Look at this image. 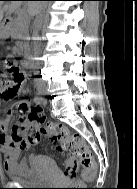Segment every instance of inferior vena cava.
Here are the masks:
<instances>
[{"mask_svg": "<svg viewBox=\"0 0 137 189\" xmlns=\"http://www.w3.org/2000/svg\"><path fill=\"white\" fill-rule=\"evenodd\" d=\"M46 7V3H44L43 7L41 8L43 11ZM43 18V15L42 14H39L37 17H36V24H35V29H34V32L33 34L34 35H37L38 33V30H39V25H40V22H41V19ZM39 48V43L38 41H34V51L36 53V50ZM37 73H35L34 75L38 78V80L36 81V85H38V88H47V82H45V80L47 79L46 77H43V70H42V67H41V62H38V69L36 70Z\"/></svg>", "mask_w": 137, "mask_h": 189, "instance_id": "inferior-vena-cava-1", "label": "inferior vena cava"}]
</instances>
